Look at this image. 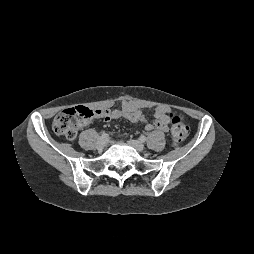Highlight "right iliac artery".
I'll return each mask as SVG.
<instances>
[{"mask_svg": "<svg viewBox=\"0 0 254 254\" xmlns=\"http://www.w3.org/2000/svg\"><path fill=\"white\" fill-rule=\"evenodd\" d=\"M101 137H102L103 139L108 138V134L105 133V132H103V133L101 134Z\"/></svg>", "mask_w": 254, "mask_h": 254, "instance_id": "82829eb1", "label": "right iliac artery"}]
</instances>
